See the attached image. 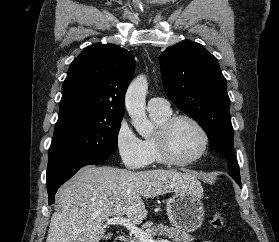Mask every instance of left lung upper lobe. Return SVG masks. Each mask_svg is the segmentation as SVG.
Returning <instances> with one entry per match:
<instances>
[{
	"label": "left lung upper lobe",
	"mask_w": 279,
	"mask_h": 242,
	"mask_svg": "<svg viewBox=\"0 0 279 242\" xmlns=\"http://www.w3.org/2000/svg\"><path fill=\"white\" fill-rule=\"evenodd\" d=\"M160 66L169 99L201 125L210 147L226 157L230 176L241 184L233 152L230 99L217 58L201 44L183 42L161 53Z\"/></svg>",
	"instance_id": "obj_1"
}]
</instances>
